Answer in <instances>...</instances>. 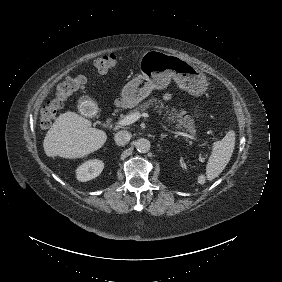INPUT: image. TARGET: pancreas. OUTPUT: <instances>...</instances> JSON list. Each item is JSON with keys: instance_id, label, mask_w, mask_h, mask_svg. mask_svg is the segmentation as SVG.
I'll list each match as a JSON object with an SVG mask.
<instances>
[{"instance_id": "obj_1", "label": "pancreas", "mask_w": 282, "mask_h": 282, "mask_svg": "<svg viewBox=\"0 0 282 282\" xmlns=\"http://www.w3.org/2000/svg\"><path fill=\"white\" fill-rule=\"evenodd\" d=\"M160 103V105H157L155 108H160L159 112L161 113V109L165 108L166 114H168V117L166 118V122L169 124H174L175 128L178 130H186L189 132L191 135L195 136L196 130H195V125H194V120L191 119L189 115H185L186 111L181 110L177 111L175 108H172L171 111H168V106L164 107L163 103L160 101H157L156 98H152L148 100L147 102L143 103L140 105L138 108L134 109L133 111H130V114L141 111L144 112L147 108H149L153 104ZM165 114V115H166Z\"/></svg>"}]
</instances>
